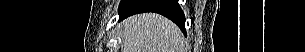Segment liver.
<instances>
[{"instance_id": "obj_1", "label": "liver", "mask_w": 305, "mask_h": 52, "mask_svg": "<svg viewBox=\"0 0 305 52\" xmlns=\"http://www.w3.org/2000/svg\"><path fill=\"white\" fill-rule=\"evenodd\" d=\"M122 52H183L178 27L156 13L132 16L123 22Z\"/></svg>"}]
</instances>
